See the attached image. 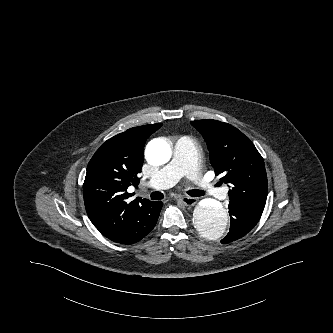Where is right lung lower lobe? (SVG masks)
<instances>
[{
    "mask_svg": "<svg viewBox=\"0 0 333 333\" xmlns=\"http://www.w3.org/2000/svg\"><path fill=\"white\" fill-rule=\"evenodd\" d=\"M162 206L161 201L146 200L132 209L116 229L104 236L121 244L138 242L155 227Z\"/></svg>",
    "mask_w": 333,
    "mask_h": 333,
    "instance_id": "1",
    "label": "right lung lower lobe"
}]
</instances>
